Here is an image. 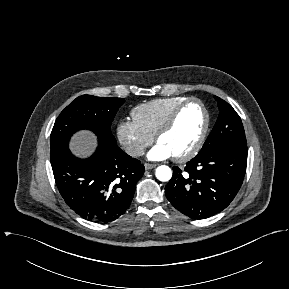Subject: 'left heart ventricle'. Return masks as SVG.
<instances>
[{"mask_svg":"<svg viewBox=\"0 0 289 289\" xmlns=\"http://www.w3.org/2000/svg\"><path fill=\"white\" fill-rule=\"evenodd\" d=\"M205 121L202 108L191 103L180 113L173 128L163 135L159 142L165 146L172 156L187 152L197 141Z\"/></svg>","mask_w":289,"mask_h":289,"instance_id":"obj_1","label":"left heart ventricle"}]
</instances>
